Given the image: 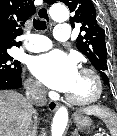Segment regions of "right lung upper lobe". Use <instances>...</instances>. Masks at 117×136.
<instances>
[{"instance_id": "right-lung-upper-lobe-1", "label": "right lung upper lobe", "mask_w": 117, "mask_h": 136, "mask_svg": "<svg viewBox=\"0 0 117 136\" xmlns=\"http://www.w3.org/2000/svg\"><path fill=\"white\" fill-rule=\"evenodd\" d=\"M31 0H0V54L8 53L12 46H19L14 39L22 35L21 26L35 14Z\"/></svg>"}]
</instances>
